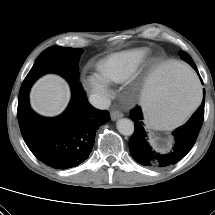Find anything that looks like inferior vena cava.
<instances>
[{"label":"inferior vena cava","instance_id":"obj_1","mask_svg":"<svg viewBox=\"0 0 215 215\" xmlns=\"http://www.w3.org/2000/svg\"><path fill=\"white\" fill-rule=\"evenodd\" d=\"M89 102L96 108L105 110L108 109L111 101L108 97L100 94H92L89 97Z\"/></svg>","mask_w":215,"mask_h":215}]
</instances>
